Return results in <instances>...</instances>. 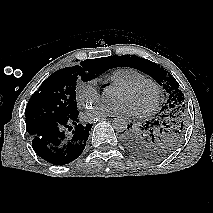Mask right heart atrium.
<instances>
[{
	"label": "right heart atrium",
	"mask_w": 213,
	"mask_h": 213,
	"mask_svg": "<svg viewBox=\"0 0 213 213\" xmlns=\"http://www.w3.org/2000/svg\"><path fill=\"white\" fill-rule=\"evenodd\" d=\"M76 101L79 105L89 107L98 102L101 93L96 80L80 81L76 86Z\"/></svg>",
	"instance_id": "1"
}]
</instances>
